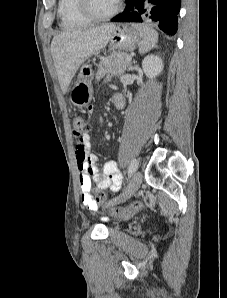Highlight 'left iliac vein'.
Segmentation results:
<instances>
[{
  "label": "left iliac vein",
  "mask_w": 227,
  "mask_h": 298,
  "mask_svg": "<svg viewBox=\"0 0 227 298\" xmlns=\"http://www.w3.org/2000/svg\"><path fill=\"white\" fill-rule=\"evenodd\" d=\"M141 182H142V175L140 172H136L132 177V179L130 180L129 184L127 185L126 189L118 197L113 199L109 203V205H115L126 201L137 191Z\"/></svg>",
  "instance_id": "4c4485c4"
}]
</instances>
